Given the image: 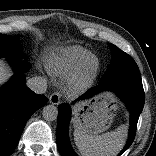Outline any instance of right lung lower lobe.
Segmentation results:
<instances>
[{
  "mask_svg": "<svg viewBox=\"0 0 156 156\" xmlns=\"http://www.w3.org/2000/svg\"><path fill=\"white\" fill-rule=\"evenodd\" d=\"M8 60L16 74L0 88V156L13 152L30 116L48 101L44 95L35 94L25 86L22 72L28 70L29 64L20 59Z\"/></svg>",
  "mask_w": 156,
  "mask_h": 156,
  "instance_id": "98d812e1",
  "label": "right lung lower lobe"
}]
</instances>
